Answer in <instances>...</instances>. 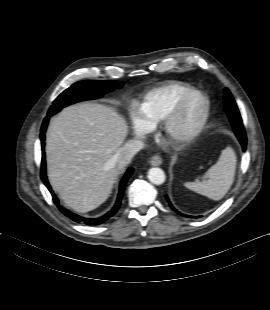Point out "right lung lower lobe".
Returning a JSON list of instances; mask_svg holds the SVG:
<instances>
[{"label": "right lung lower lobe", "mask_w": 270, "mask_h": 310, "mask_svg": "<svg viewBox=\"0 0 270 310\" xmlns=\"http://www.w3.org/2000/svg\"><path fill=\"white\" fill-rule=\"evenodd\" d=\"M50 116H47L44 119V122L42 124V128H41V133H40V138H41V145H42V169H41V179L44 182V184L46 185V187L48 188V190L50 191V193L52 194L53 197V201L54 203L57 205V207L60 209V211L66 215L67 217H69L70 219H72L73 221L77 222V223H84L86 225H99L104 223L105 221H107L109 218H111L119 209L120 204H121V200L123 197V193L125 190V186L126 183L129 179V177L132 175L134 169L133 168H129L128 171L126 172L125 176L123 177L121 183H120V188H119V193H118V197H117V201L115 203V205L112 207V209L110 211H108L106 214H104L101 217L98 218H85V217H81L79 215H76L68 210H66L65 208H63L62 206L59 205V201L57 199V197L54 195L49 182L47 180L46 177V170H45V154H44V141H45V131H46V127L48 124V120H49Z\"/></svg>", "instance_id": "obj_1"}]
</instances>
